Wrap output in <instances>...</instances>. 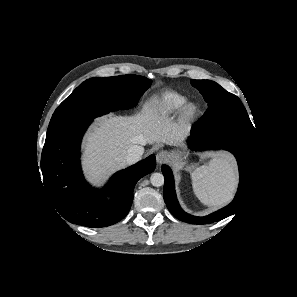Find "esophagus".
I'll return each mask as SVG.
<instances>
[{
    "label": "esophagus",
    "mask_w": 297,
    "mask_h": 297,
    "mask_svg": "<svg viewBox=\"0 0 297 297\" xmlns=\"http://www.w3.org/2000/svg\"><path fill=\"white\" fill-rule=\"evenodd\" d=\"M169 160V153L166 152V151H161V152H158L157 155H156V161L157 163L160 165V164H163V163H166L167 161Z\"/></svg>",
    "instance_id": "1"
}]
</instances>
